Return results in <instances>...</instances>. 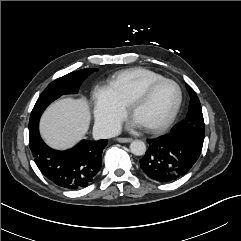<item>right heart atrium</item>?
I'll use <instances>...</instances> for the list:
<instances>
[{
    "mask_svg": "<svg viewBox=\"0 0 241 241\" xmlns=\"http://www.w3.org/2000/svg\"><path fill=\"white\" fill-rule=\"evenodd\" d=\"M93 99L96 126L103 134L114 133L126 115V106L108 85L96 87Z\"/></svg>",
    "mask_w": 241,
    "mask_h": 241,
    "instance_id": "d8ad5b80",
    "label": "right heart atrium"
}]
</instances>
